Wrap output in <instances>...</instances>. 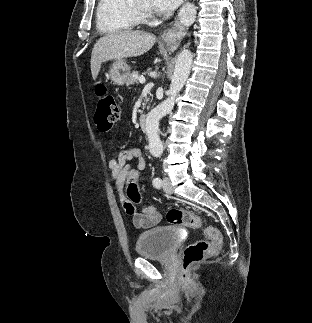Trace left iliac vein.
Here are the masks:
<instances>
[{
    "label": "left iliac vein",
    "instance_id": "left-iliac-vein-1",
    "mask_svg": "<svg viewBox=\"0 0 312 323\" xmlns=\"http://www.w3.org/2000/svg\"><path fill=\"white\" fill-rule=\"evenodd\" d=\"M162 185H163V190L166 193H172L173 192V189H172V186H171V183H170V179L168 177L163 178Z\"/></svg>",
    "mask_w": 312,
    "mask_h": 323
}]
</instances>
